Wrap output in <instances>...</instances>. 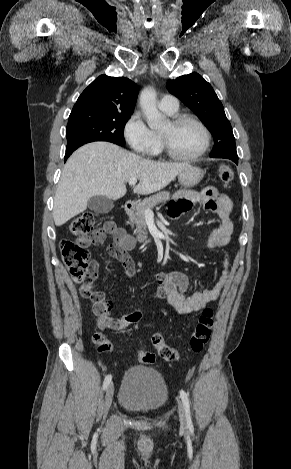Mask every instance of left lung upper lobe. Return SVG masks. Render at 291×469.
Returning <instances> with one entry per match:
<instances>
[{
  "label": "left lung upper lobe",
  "instance_id": "left-lung-upper-lobe-1",
  "mask_svg": "<svg viewBox=\"0 0 291 469\" xmlns=\"http://www.w3.org/2000/svg\"><path fill=\"white\" fill-rule=\"evenodd\" d=\"M169 92L193 110L214 137L210 157H237L235 138L223 105L212 86L196 72L167 82Z\"/></svg>",
  "mask_w": 291,
  "mask_h": 469
}]
</instances>
